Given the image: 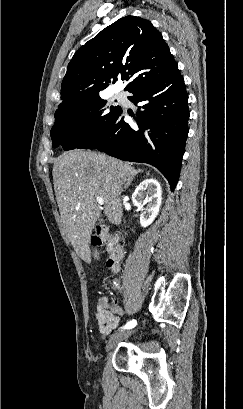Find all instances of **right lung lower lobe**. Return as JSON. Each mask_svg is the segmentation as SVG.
<instances>
[{"mask_svg":"<svg viewBox=\"0 0 243 409\" xmlns=\"http://www.w3.org/2000/svg\"><path fill=\"white\" fill-rule=\"evenodd\" d=\"M141 103L135 123L124 122L120 109L113 120L76 148L98 149L125 161L148 163L166 177L173 191L188 135V94L178 67L165 76L129 90Z\"/></svg>","mask_w":243,"mask_h":409,"instance_id":"obj_1","label":"right lung lower lobe"}]
</instances>
